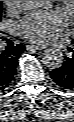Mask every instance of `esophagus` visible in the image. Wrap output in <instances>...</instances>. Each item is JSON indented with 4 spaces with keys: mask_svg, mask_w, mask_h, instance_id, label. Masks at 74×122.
I'll return each mask as SVG.
<instances>
[{
    "mask_svg": "<svg viewBox=\"0 0 74 122\" xmlns=\"http://www.w3.org/2000/svg\"><path fill=\"white\" fill-rule=\"evenodd\" d=\"M46 46L44 44H31L27 46V50H43Z\"/></svg>",
    "mask_w": 74,
    "mask_h": 122,
    "instance_id": "esophagus-1",
    "label": "esophagus"
}]
</instances>
